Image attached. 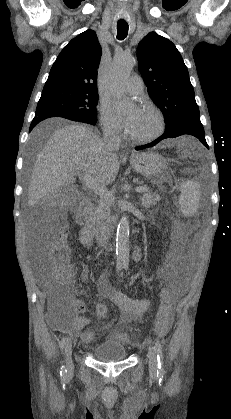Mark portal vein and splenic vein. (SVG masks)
I'll list each match as a JSON object with an SVG mask.
<instances>
[{
  "mask_svg": "<svg viewBox=\"0 0 231 419\" xmlns=\"http://www.w3.org/2000/svg\"><path fill=\"white\" fill-rule=\"evenodd\" d=\"M81 179L84 181L86 186L92 190L95 194L99 195L102 198H111V192L106 189L104 186L100 185L94 180V178L87 173L78 172ZM146 191V187L140 186L136 188V192L142 193Z\"/></svg>",
  "mask_w": 231,
  "mask_h": 419,
  "instance_id": "portal-vein-and-splenic-vein-1",
  "label": "portal vein and splenic vein"
}]
</instances>
